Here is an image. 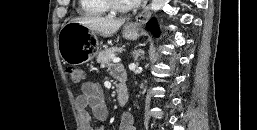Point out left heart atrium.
I'll list each match as a JSON object with an SVG mask.
<instances>
[{
	"mask_svg": "<svg viewBox=\"0 0 257 130\" xmlns=\"http://www.w3.org/2000/svg\"><path fill=\"white\" fill-rule=\"evenodd\" d=\"M140 1H142V0H135V2H137V3H139Z\"/></svg>",
	"mask_w": 257,
	"mask_h": 130,
	"instance_id": "1",
	"label": "left heart atrium"
}]
</instances>
